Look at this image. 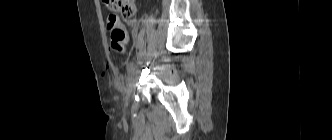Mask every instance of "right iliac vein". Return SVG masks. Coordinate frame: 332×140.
I'll use <instances>...</instances> for the list:
<instances>
[{"mask_svg":"<svg viewBox=\"0 0 332 140\" xmlns=\"http://www.w3.org/2000/svg\"><path fill=\"white\" fill-rule=\"evenodd\" d=\"M134 76H135V71L132 70L130 73V77H129V84H128V87L126 90L125 106H128L130 95H131L133 87H134Z\"/></svg>","mask_w":332,"mask_h":140,"instance_id":"right-iliac-vein-1","label":"right iliac vein"}]
</instances>
